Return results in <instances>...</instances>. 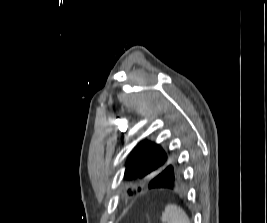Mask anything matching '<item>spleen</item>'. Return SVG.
Instances as JSON below:
<instances>
[{
  "instance_id": "3e777b00",
  "label": "spleen",
  "mask_w": 267,
  "mask_h": 223,
  "mask_svg": "<svg viewBox=\"0 0 267 223\" xmlns=\"http://www.w3.org/2000/svg\"><path fill=\"white\" fill-rule=\"evenodd\" d=\"M163 223H190V219L184 210L177 205H167L162 213Z\"/></svg>"
}]
</instances>
